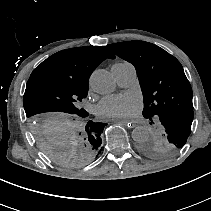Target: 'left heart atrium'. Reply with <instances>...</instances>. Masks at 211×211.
Masks as SVG:
<instances>
[{
	"label": "left heart atrium",
	"instance_id": "left-heart-atrium-1",
	"mask_svg": "<svg viewBox=\"0 0 211 211\" xmlns=\"http://www.w3.org/2000/svg\"><path fill=\"white\" fill-rule=\"evenodd\" d=\"M141 108V101L135 95H110L101 100L95 113L101 119L118 120L135 116Z\"/></svg>",
	"mask_w": 211,
	"mask_h": 211
}]
</instances>
